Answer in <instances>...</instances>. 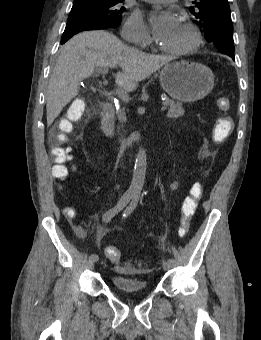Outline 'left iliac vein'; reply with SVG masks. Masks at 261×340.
Instances as JSON below:
<instances>
[{"instance_id": "obj_1", "label": "left iliac vein", "mask_w": 261, "mask_h": 340, "mask_svg": "<svg viewBox=\"0 0 261 340\" xmlns=\"http://www.w3.org/2000/svg\"><path fill=\"white\" fill-rule=\"evenodd\" d=\"M162 267L164 270H169L172 267V265L168 261H163Z\"/></svg>"}]
</instances>
